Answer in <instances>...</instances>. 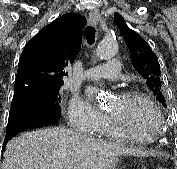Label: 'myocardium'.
<instances>
[{
	"label": "myocardium",
	"instance_id": "obj_1",
	"mask_svg": "<svg viewBox=\"0 0 177 169\" xmlns=\"http://www.w3.org/2000/svg\"><path fill=\"white\" fill-rule=\"evenodd\" d=\"M120 97L125 100L133 101V100H140L148 104L158 115L160 119V129L156 131L152 135H145V136H134L131 134H128L126 131V128L123 124V121L116 115L108 114L109 119L115 126V128L127 139L129 140H135V141H153L156 138H158L165 129V119L164 115L159 108V106L154 102V100L148 96L146 93L142 92L138 89H126L120 93Z\"/></svg>",
	"mask_w": 177,
	"mask_h": 169
}]
</instances>
